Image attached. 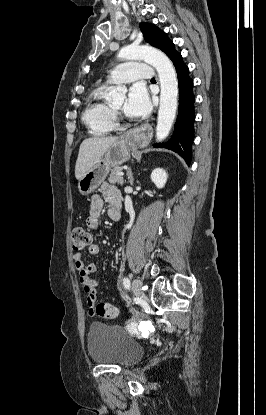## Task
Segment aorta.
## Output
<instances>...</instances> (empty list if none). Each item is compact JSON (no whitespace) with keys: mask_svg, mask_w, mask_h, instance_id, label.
<instances>
[{"mask_svg":"<svg viewBox=\"0 0 266 415\" xmlns=\"http://www.w3.org/2000/svg\"><path fill=\"white\" fill-rule=\"evenodd\" d=\"M118 57L124 60H144L157 70L161 93L156 140L163 141L170 133L178 107V82L172 62L164 53L149 46H126L119 51ZM126 91L125 87L112 88L108 98H124Z\"/></svg>","mask_w":266,"mask_h":415,"instance_id":"1","label":"aorta"}]
</instances>
